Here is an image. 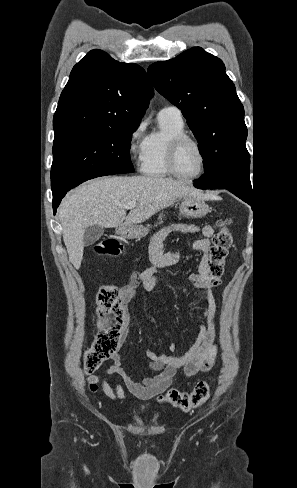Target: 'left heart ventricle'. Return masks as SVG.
Returning <instances> with one entry per match:
<instances>
[{
	"label": "left heart ventricle",
	"instance_id": "left-heart-ventricle-1",
	"mask_svg": "<svg viewBox=\"0 0 297 488\" xmlns=\"http://www.w3.org/2000/svg\"><path fill=\"white\" fill-rule=\"evenodd\" d=\"M201 166V156L192 143H185L179 150L177 156V168L186 176H190L198 172Z\"/></svg>",
	"mask_w": 297,
	"mask_h": 488
}]
</instances>
